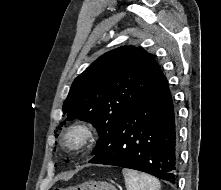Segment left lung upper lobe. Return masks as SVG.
Wrapping results in <instances>:
<instances>
[{
    "mask_svg": "<svg viewBox=\"0 0 221 190\" xmlns=\"http://www.w3.org/2000/svg\"><path fill=\"white\" fill-rule=\"evenodd\" d=\"M162 75L155 59L142 48L111 50L74 80L63 113L67 120L81 119L97 128L100 139L93 153L98 154L107 146L112 129L141 103Z\"/></svg>",
    "mask_w": 221,
    "mask_h": 190,
    "instance_id": "obj_1",
    "label": "left lung upper lobe"
}]
</instances>
